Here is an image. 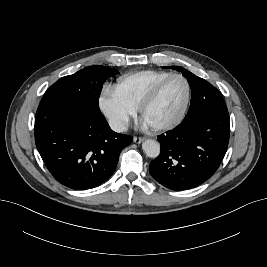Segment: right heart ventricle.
<instances>
[{
  "label": "right heart ventricle",
  "mask_w": 267,
  "mask_h": 267,
  "mask_svg": "<svg viewBox=\"0 0 267 267\" xmlns=\"http://www.w3.org/2000/svg\"><path fill=\"white\" fill-rule=\"evenodd\" d=\"M170 74L172 73L156 70H143L126 74L118 78L114 89L125 102L138 109L153 86Z\"/></svg>",
  "instance_id": "obj_1"
}]
</instances>
